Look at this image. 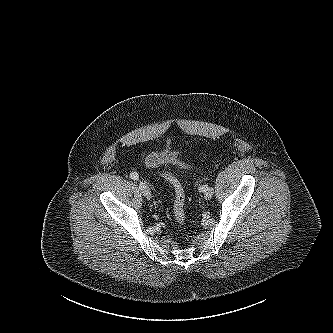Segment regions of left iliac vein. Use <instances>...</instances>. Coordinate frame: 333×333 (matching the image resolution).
I'll return each mask as SVG.
<instances>
[{
	"label": "left iliac vein",
	"instance_id": "obj_1",
	"mask_svg": "<svg viewBox=\"0 0 333 333\" xmlns=\"http://www.w3.org/2000/svg\"><path fill=\"white\" fill-rule=\"evenodd\" d=\"M213 189L209 188L208 190L205 191L204 197L206 200H210L213 197Z\"/></svg>",
	"mask_w": 333,
	"mask_h": 333
}]
</instances>
